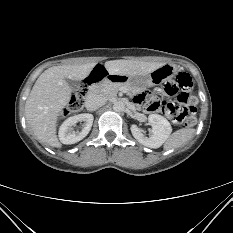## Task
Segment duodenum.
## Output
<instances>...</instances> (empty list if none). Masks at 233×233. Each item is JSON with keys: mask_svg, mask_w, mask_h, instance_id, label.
<instances>
[{"mask_svg": "<svg viewBox=\"0 0 233 233\" xmlns=\"http://www.w3.org/2000/svg\"><path fill=\"white\" fill-rule=\"evenodd\" d=\"M114 76L115 74L105 72L103 65H96L94 67V71L89 75V77L87 78V82L85 84L87 88V93L89 91L92 93L100 92L102 88L98 82H100L103 79H108L111 82H115L113 79Z\"/></svg>", "mask_w": 233, "mask_h": 233, "instance_id": "1", "label": "duodenum"}]
</instances>
